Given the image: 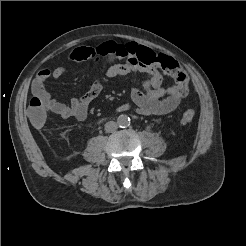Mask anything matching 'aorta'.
<instances>
[{"instance_id": "762f6f07", "label": "aorta", "mask_w": 246, "mask_h": 246, "mask_svg": "<svg viewBox=\"0 0 246 246\" xmlns=\"http://www.w3.org/2000/svg\"><path fill=\"white\" fill-rule=\"evenodd\" d=\"M117 124L120 127H127L130 125V118L127 115H120L117 118Z\"/></svg>"}]
</instances>
